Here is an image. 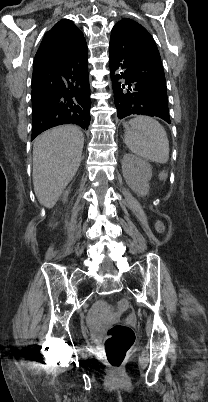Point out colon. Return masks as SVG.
Returning <instances> with one entry per match:
<instances>
[{
    "instance_id": "colon-1",
    "label": "colon",
    "mask_w": 208,
    "mask_h": 402,
    "mask_svg": "<svg viewBox=\"0 0 208 402\" xmlns=\"http://www.w3.org/2000/svg\"><path fill=\"white\" fill-rule=\"evenodd\" d=\"M157 230L161 234H165L167 230L166 222L163 219H157L155 222ZM120 308L128 310L127 304H121ZM134 324L133 319L128 318L125 324H109L106 331V339L104 349L107 360L112 365H120L131 346L132 339L136 337L137 332L132 329Z\"/></svg>"
}]
</instances>
